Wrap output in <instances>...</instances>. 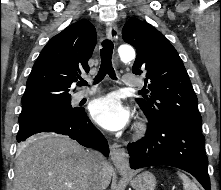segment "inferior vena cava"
Instances as JSON below:
<instances>
[{
	"instance_id": "602c4592",
	"label": "inferior vena cava",
	"mask_w": 221,
	"mask_h": 190,
	"mask_svg": "<svg viewBox=\"0 0 221 190\" xmlns=\"http://www.w3.org/2000/svg\"><path fill=\"white\" fill-rule=\"evenodd\" d=\"M91 176L89 178L88 190H103L101 183L102 169L105 165L104 156L98 151H90L88 156Z\"/></svg>"
}]
</instances>
